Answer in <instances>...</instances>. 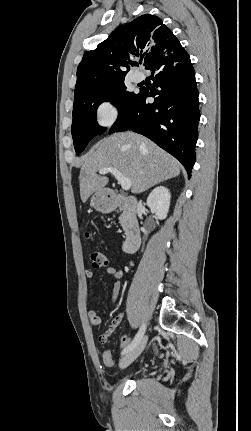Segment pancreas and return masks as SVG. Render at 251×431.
Here are the masks:
<instances>
[{"label":"pancreas","instance_id":"cf45deb5","mask_svg":"<svg viewBox=\"0 0 251 431\" xmlns=\"http://www.w3.org/2000/svg\"><path fill=\"white\" fill-rule=\"evenodd\" d=\"M125 216H126V212H123V213L121 214V216L119 217V222H120V224H121L122 226H124V225H125Z\"/></svg>","mask_w":251,"mask_h":431}]
</instances>
